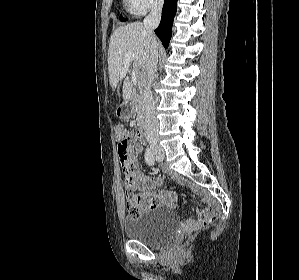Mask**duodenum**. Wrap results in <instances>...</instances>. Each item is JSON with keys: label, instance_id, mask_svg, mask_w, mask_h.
<instances>
[{"label": "duodenum", "instance_id": "obj_1", "mask_svg": "<svg viewBox=\"0 0 299 280\" xmlns=\"http://www.w3.org/2000/svg\"><path fill=\"white\" fill-rule=\"evenodd\" d=\"M138 137L140 140H145L147 138V126L145 124H141L138 129Z\"/></svg>", "mask_w": 299, "mask_h": 280}]
</instances>
